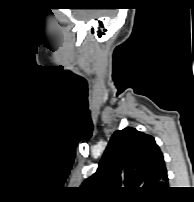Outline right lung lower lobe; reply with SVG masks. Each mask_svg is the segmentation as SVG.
Returning a JSON list of instances; mask_svg holds the SVG:
<instances>
[{
	"instance_id": "obj_1",
	"label": "right lung lower lobe",
	"mask_w": 194,
	"mask_h": 202,
	"mask_svg": "<svg viewBox=\"0 0 194 202\" xmlns=\"http://www.w3.org/2000/svg\"><path fill=\"white\" fill-rule=\"evenodd\" d=\"M162 194H164V191L162 193H160L158 196H161Z\"/></svg>"
}]
</instances>
